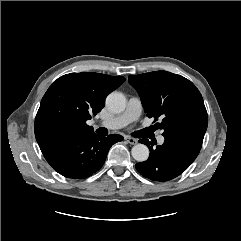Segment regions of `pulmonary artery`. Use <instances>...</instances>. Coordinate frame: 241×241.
<instances>
[{
	"instance_id": "1",
	"label": "pulmonary artery",
	"mask_w": 241,
	"mask_h": 241,
	"mask_svg": "<svg viewBox=\"0 0 241 241\" xmlns=\"http://www.w3.org/2000/svg\"><path fill=\"white\" fill-rule=\"evenodd\" d=\"M141 111L142 105L140 100L136 97H132L130 98L128 105L123 113L116 115L111 119L104 120L101 122V124L110 129L122 128L127 124L136 121L140 117ZM157 141L158 143L163 144L165 141L164 136L159 135L157 137Z\"/></svg>"
}]
</instances>
